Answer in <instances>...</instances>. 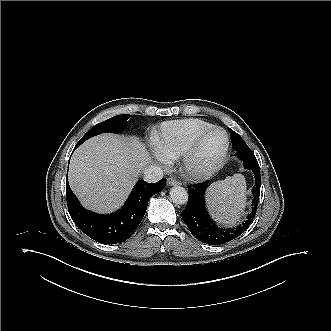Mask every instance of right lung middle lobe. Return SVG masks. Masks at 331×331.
<instances>
[{
    "label": "right lung middle lobe",
    "instance_id": "obj_1",
    "mask_svg": "<svg viewBox=\"0 0 331 331\" xmlns=\"http://www.w3.org/2000/svg\"><path fill=\"white\" fill-rule=\"evenodd\" d=\"M130 115H117L108 120H105L92 127L78 142L82 144L85 140L105 132L118 133L127 126V120Z\"/></svg>",
    "mask_w": 331,
    "mask_h": 331
}]
</instances>
